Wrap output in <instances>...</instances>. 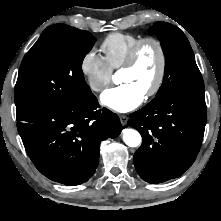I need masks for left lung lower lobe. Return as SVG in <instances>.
Returning a JSON list of instances; mask_svg holds the SVG:
<instances>
[{
  "label": "left lung lower lobe",
  "instance_id": "left-lung-lower-lobe-1",
  "mask_svg": "<svg viewBox=\"0 0 221 221\" xmlns=\"http://www.w3.org/2000/svg\"><path fill=\"white\" fill-rule=\"evenodd\" d=\"M128 125L143 137L137 173L157 184L181 176L195 161L206 124L205 97L169 92L132 113Z\"/></svg>",
  "mask_w": 221,
  "mask_h": 221
}]
</instances>
